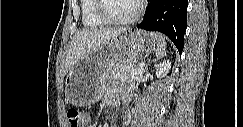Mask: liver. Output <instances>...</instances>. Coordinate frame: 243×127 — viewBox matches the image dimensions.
<instances>
[{"label": "liver", "instance_id": "liver-1", "mask_svg": "<svg viewBox=\"0 0 243 127\" xmlns=\"http://www.w3.org/2000/svg\"><path fill=\"white\" fill-rule=\"evenodd\" d=\"M127 29L123 27L101 28L85 29L77 32L66 51L63 75H66L69 69L85 56L100 50L113 38L125 32Z\"/></svg>", "mask_w": 243, "mask_h": 127}]
</instances>
